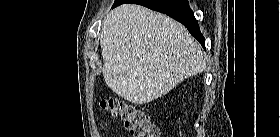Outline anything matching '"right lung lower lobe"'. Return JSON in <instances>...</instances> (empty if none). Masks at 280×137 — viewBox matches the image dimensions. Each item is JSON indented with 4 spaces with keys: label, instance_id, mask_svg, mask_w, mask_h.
<instances>
[{
    "label": "right lung lower lobe",
    "instance_id": "98d812e1",
    "mask_svg": "<svg viewBox=\"0 0 280 137\" xmlns=\"http://www.w3.org/2000/svg\"><path fill=\"white\" fill-rule=\"evenodd\" d=\"M134 3L164 13L182 23L190 34L205 48V38L187 0H124L121 4Z\"/></svg>",
    "mask_w": 280,
    "mask_h": 137
}]
</instances>
